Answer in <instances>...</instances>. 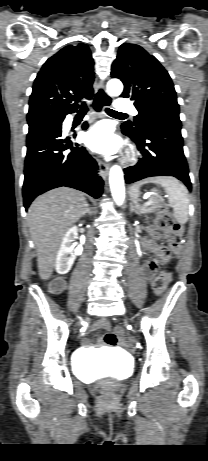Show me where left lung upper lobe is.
I'll return each instance as SVG.
<instances>
[{
  "label": "left lung upper lobe",
  "mask_w": 208,
  "mask_h": 461,
  "mask_svg": "<svg viewBox=\"0 0 208 461\" xmlns=\"http://www.w3.org/2000/svg\"><path fill=\"white\" fill-rule=\"evenodd\" d=\"M111 76L123 82L121 97L134 100L139 112L134 123L122 125L123 131L137 133L156 118L179 119L176 91L168 72L139 45L124 43L120 46Z\"/></svg>",
  "instance_id": "1"
}]
</instances>
